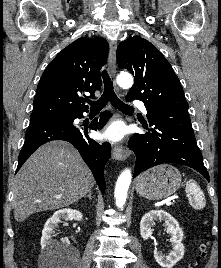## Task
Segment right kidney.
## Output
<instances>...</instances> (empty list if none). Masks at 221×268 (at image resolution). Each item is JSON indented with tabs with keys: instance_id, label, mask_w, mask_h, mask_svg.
I'll return each instance as SVG.
<instances>
[{
	"instance_id": "ca27d5eb",
	"label": "right kidney",
	"mask_w": 221,
	"mask_h": 268,
	"mask_svg": "<svg viewBox=\"0 0 221 268\" xmlns=\"http://www.w3.org/2000/svg\"><path fill=\"white\" fill-rule=\"evenodd\" d=\"M62 219L69 220L74 219L77 221H81L83 219V215L80 211L75 209H61L56 211L52 217H50L43 228L42 237H41V247L47 251H52L54 247V241L52 239V234L54 233V229L61 223ZM62 244H69L68 238L61 239Z\"/></svg>"
}]
</instances>
